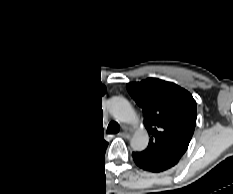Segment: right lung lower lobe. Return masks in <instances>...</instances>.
Segmentation results:
<instances>
[{
  "label": "right lung lower lobe",
  "instance_id": "obj_1",
  "mask_svg": "<svg viewBox=\"0 0 233 194\" xmlns=\"http://www.w3.org/2000/svg\"><path fill=\"white\" fill-rule=\"evenodd\" d=\"M105 152V151H104ZM104 155V153L99 157V159H97L92 165L96 164L101 158L102 156Z\"/></svg>",
  "mask_w": 233,
  "mask_h": 194
}]
</instances>
